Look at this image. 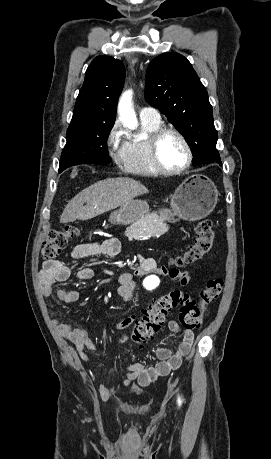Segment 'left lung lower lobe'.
I'll return each mask as SVG.
<instances>
[{
	"mask_svg": "<svg viewBox=\"0 0 271 459\" xmlns=\"http://www.w3.org/2000/svg\"><path fill=\"white\" fill-rule=\"evenodd\" d=\"M217 163H218L220 166L222 165L221 160L217 161Z\"/></svg>",
	"mask_w": 271,
	"mask_h": 459,
	"instance_id": "0a47b994",
	"label": "left lung lower lobe"
}]
</instances>
